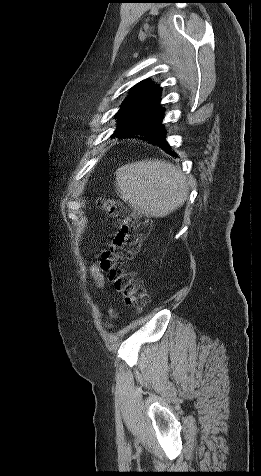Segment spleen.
<instances>
[{"label":"spleen","mask_w":261,"mask_h":476,"mask_svg":"<svg viewBox=\"0 0 261 476\" xmlns=\"http://www.w3.org/2000/svg\"><path fill=\"white\" fill-rule=\"evenodd\" d=\"M120 198L133 209L162 218L180 208L188 197L187 179L167 161L152 159L128 163L116 171Z\"/></svg>","instance_id":"3e777b00"}]
</instances>
